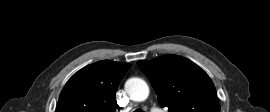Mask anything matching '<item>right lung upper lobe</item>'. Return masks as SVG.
<instances>
[{"label":"right lung upper lobe","mask_w":270,"mask_h":112,"mask_svg":"<svg viewBox=\"0 0 270 112\" xmlns=\"http://www.w3.org/2000/svg\"><path fill=\"white\" fill-rule=\"evenodd\" d=\"M130 67L103 60L79 70L63 88L56 112H116L115 93Z\"/></svg>","instance_id":"cb5924a9"}]
</instances>
